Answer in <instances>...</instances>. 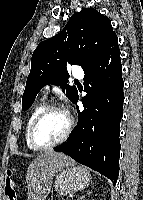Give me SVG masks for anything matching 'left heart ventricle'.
Segmentation results:
<instances>
[{
	"label": "left heart ventricle",
	"mask_w": 143,
	"mask_h": 200,
	"mask_svg": "<svg viewBox=\"0 0 143 200\" xmlns=\"http://www.w3.org/2000/svg\"><path fill=\"white\" fill-rule=\"evenodd\" d=\"M67 126V114L59 110L52 111L38 125L36 139L41 144L52 143L64 134Z\"/></svg>",
	"instance_id": "1"
}]
</instances>
